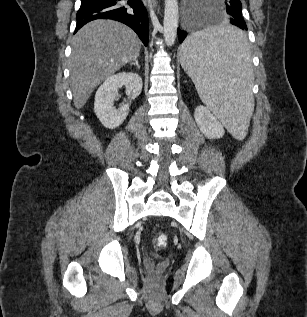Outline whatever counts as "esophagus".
Listing matches in <instances>:
<instances>
[{"label": "esophagus", "mask_w": 307, "mask_h": 317, "mask_svg": "<svg viewBox=\"0 0 307 317\" xmlns=\"http://www.w3.org/2000/svg\"><path fill=\"white\" fill-rule=\"evenodd\" d=\"M152 3L154 6H157V1L156 0H152Z\"/></svg>", "instance_id": "esophagus-1"}]
</instances>
